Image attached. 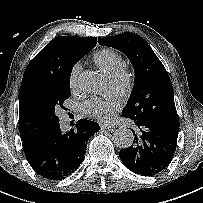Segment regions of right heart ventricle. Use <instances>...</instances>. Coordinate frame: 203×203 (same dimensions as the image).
Here are the masks:
<instances>
[{
  "label": "right heart ventricle",
  "instance_id": "right-heart-ventricle-1",
  "mask_svg": "<svg viewBox=\"0 0 203 203\" xmlns=\"http://www.w3.org/2000/svg\"><path fill=\"white\" fill-rule=\"evenodd\" d=\"M93 60L106 74H110L125 65L123 57L111 48H103L96 51L93 55Z\"/></svg>",
  "mask_w": 203,
  "mask_h": 203
}]
</instances>
